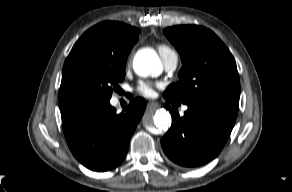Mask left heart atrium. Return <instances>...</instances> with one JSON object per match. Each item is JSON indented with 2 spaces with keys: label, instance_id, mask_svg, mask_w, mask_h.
I'll return each mask as SVG.
<instances>
[{
  "label": "left heart atrium",
  "instance_id": "left-heart-atrium-1",
  "mask_svg": "<svg viewBox=\"0 0 292 192\" xmlns=\"http://www.w3.org/2000/svg\"><path fill=\"white\" fill-rule=\"evenodd\" d=\"M137 91L145 97H152L155 94L154 85L148 82L139 83Z\"/></svg>",
  "mask_w": 292,
  "mask_h": 192
}]
</instances>
